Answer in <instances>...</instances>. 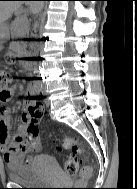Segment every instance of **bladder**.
<instances>
[{
    "label": "bladder",
    "mask_w": 137,
    "mask_h": 189,
    "mask_svg": "<svg viewBox=\"0 0 137 189\" xmlns=\"http://www.w3.org/2000/svg\"><path fill=\"white\" fill-rule=\"evenodd\" d=\"M59 175V165L55 158L49 155L38 156L33 164L17 171H8V178L12 182L33 186L47 185Z\"/></svg>",
    "instance_id": "bladder-1"
}]
</instances>
